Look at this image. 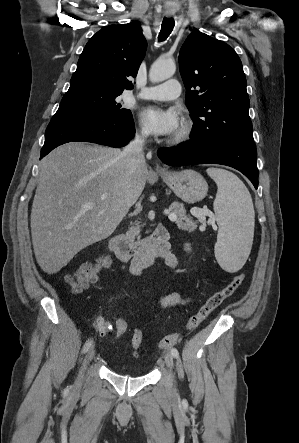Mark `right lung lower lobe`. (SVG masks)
Returning a JSON list of instances; mask_svg holds the SVG:
<instances>
[{
  "label": "right lung lower lobe",
  "instance_id": "98d812e1",
  "mask_svg": "<svg viewBox=\"0 0 299 443\" xmlns=\"http://www.w3.org/2000/svg\"><path fill=\"white\" fill-rule=\"evenodd\" d=\"M134 134L132 115L101 120L52 118L46 129L40 159L59 145L74 141L122 147L128 144Z\"/></svg>",
  "mask_w": 299,
  "mask_h": 443
}]
</instances>
